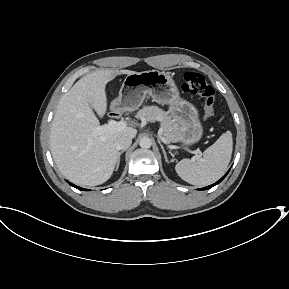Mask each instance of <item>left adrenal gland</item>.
<instances>
[{
  "instance_id": "obj_1",
  "label": "left adrenal gland",
  "mask_w": 289,
  "mask_h": 289,
  "mask_svg": "<svg viewBox=\"0 0 289 289\" xmlns=\"http://www.w3.org/2000/svg\"><path fill=\"white\" fill-rule=\"evenodd\" d=\"M158 143H159V145H160V147H161V149H162V152H163L165 161H166V162H169V160H168V158H167V155H166V151H165V149H164V146L162 145V143H161L159 140H158Z\"/></svg>"
}]
</instances>
